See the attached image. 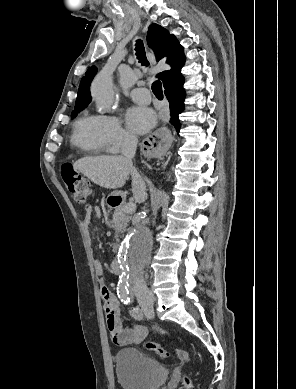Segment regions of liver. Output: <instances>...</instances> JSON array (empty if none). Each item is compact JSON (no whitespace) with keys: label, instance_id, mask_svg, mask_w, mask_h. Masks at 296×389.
<instances>
[{"label":"liver","instance_id":"liver-1","mask_svg":"<svg viewBox=\"0 0 296 389\" xmlns=\"http://www.w3.org/2000/svg\"><path fill=\"white\" fill-rule=\"evenodd\" d=\"M75 171L81 172L96 185L107 189H117L125 185L129 175L132 177V193L137 202L147 198L146 186L132 162L124 156L84 157L73 164ZM136 170V169H135Z\"/></svg>","mask_w":296,"mask_h":389}]
</instances>
